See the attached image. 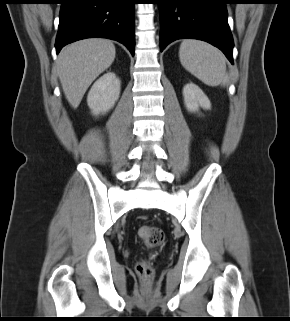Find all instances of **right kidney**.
<instances>
[{
  "mask_svg": "<svg viewBox=\"0 0 290 321\" xmlns=\"http://www.w3.org/2000/svg\"><path fill=\"white\" fill-rule=\"evenodd\" d=\"M120 80L115 73L107 72L91 87L87 103L93 115L105 114L112 109L119 99Z\"/></svg>",
  "mask_w": 290,
  "mask_h": 321,
  "instance_id": "ca27d5eb",
  "label": "right kidney"
}]
</instances>
